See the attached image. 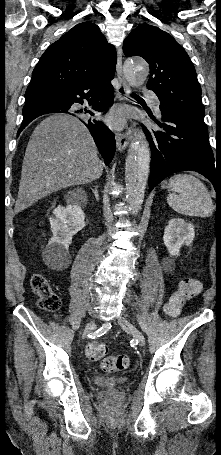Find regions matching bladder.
Listing matches in <instances>:
<instances>
[{
  "instance_id": "31cf9c89",
  "label": "bladder",
  "mask_w": 221,
  "mask_h": 455,
  "mask_svg": "<svg viewBox=\"0 0 221 455\" xmlns=\"http://www.w3.org/2000/svg\"><path fill=\"white\" fill-rule=\"evenodd\" d=\"M125 382L124 378L118 377H104V376H96L94 377V383L100 387L106 388H114L122 385Z\"/></svg>"
}]
</instances>
